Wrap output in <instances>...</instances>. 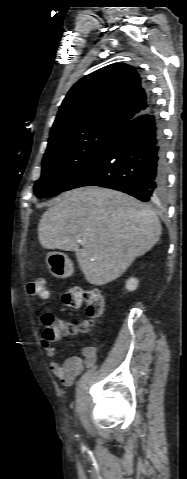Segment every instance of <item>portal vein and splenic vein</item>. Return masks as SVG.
<instances>
[{"instance_id":"1","label":"portal vein and splenic vein","mask_w":187,"mask_h":479,"mask_svg":"<svg viewBox=\"0 0 187 479\" xmlns=\"http://www.w3.org/2000/svg\"><path fill=\"white\" fill-rule=\"evenodd\" d=\"M79 243H82V240H79Z\"/></svg>"}]
</instances>
